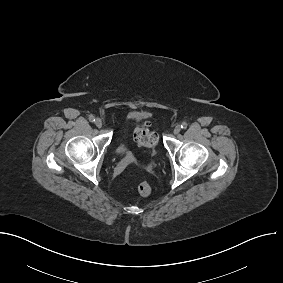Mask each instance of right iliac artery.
Here are the masks:
<instances>
[{
  "instance_id": "1",
  "label": "right iliac artery",
  "mask_w": 283,
  "mask_h": 283,
  "mask_svg": "<svg viewBox=\"0 0 283 283\" xmlns=\"http://www.w3.org/2000/svg\"><path fill=\"white\" fill-rule=\"evenodd\" d=\"M89 121H90V122H95V117H94L93 115H90V116H89Z\"/></svg>"
}]
</instances>
